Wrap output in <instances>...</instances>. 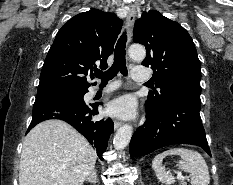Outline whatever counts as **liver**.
<instances>
[{"mask_svg":"<svg viewBox=\"0 0 233 185\" xmlns=\"http://www.w3.org/2000/svg\"><path fill=\"white\" fill-rule=\"evenodd\" d=\"M96 160V151L72 126L46 120L24 139L19 185H83Z\"/></svg>","mask_w":233,"mask_h":185,"instance_id":"1","label":"liver"}]
</instances>
